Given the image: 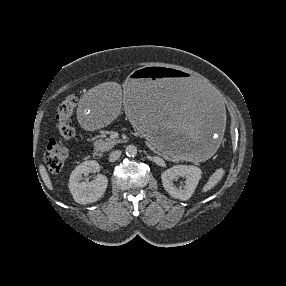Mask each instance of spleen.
Wrapping results in <instances>:
<instances>
[{
    "label": "spleen",
    "mask_w": 286,
    "mask_h": 286,
    "mask_svg": "<svg viewBox=\"0 0 286 286\" xmlns=\"http://www.w3.org/2000/svg\"><path fill=\"white\" fill-rule=\"evenodd\" d=\"M224 175V170L222 168L217 169L208 179L207 183L204 185L202 192H207L213 189L217 183L222 179Z\"/></svg>",
    "instance_id": "spleen-1"
}]
</instances>
